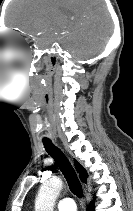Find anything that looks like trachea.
<instances>
[{
    "mask_svg": "<svg viewBox=\"0 0 133 211\" xmlns=\"http://www.w3.org/2000/svg\"><path fill=\"white\" fill-rule=\"evenodd\" d=\"M43 144L47 153L55 160L59 169L63 173L71 192L81 198L83 196L82 185L68 158L60 149L54 146L51 141L43 140Z\"/></svg>",
    "mask_w": 133,
    "mask_h": 211,
    "instance_id": "3493384b",
    "label": "trachea"
}]
</instances>
